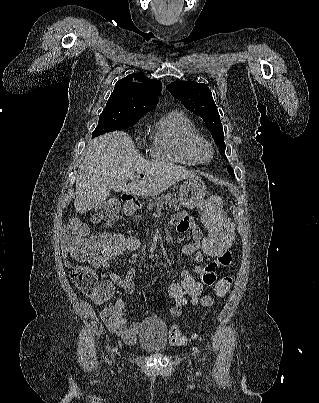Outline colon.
<instances>
[{"instance_id":"obj_1","label":"colon","mask_w":319,"mask_h":403,"mask_svg":"<svg viewBox=\"0 0 319 403\" xmlns=\"http://www.w3.org/2000/svg\"><path fill=\"white\" fill-rule=\"evenodd\" d=\"M222 205L223 201L219 196H210L200 205L201 218L207 231L199 258L196 259L190 275H181L180 282L166 283L167 291H175V300L172 304L174 310L188 309V300H196L197 296H204L202 274L205 267L217 263L220 253L236 242L234 222L232 218L225 217ZM103 208L105 210L99 212L94 221L110 227L115 222L117 210L122 208V203L105 201ZM62 234L64 248L80 262L99 257L125 258L126 254H138L140 250L137 234H122L121 229H97L96 234H88L87 238L83 223L76 218L64 227ZM70 277L75 286L89 296L93 286L98 285L97 276L91 270H73ZM231 285V277H222L215 285V295L219 298L226 296ZM169 341L173 346H181L187 341V337L179 326L174 325L170 330Z\"/></svg>"}]
</instances>
